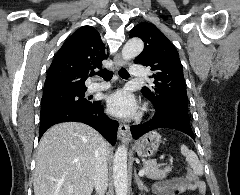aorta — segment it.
<instances>
[{
  "mask_svg": "<svg viewBox=\"0 0 240 195\" xmlns=\"http://www.w3.org/2000/svg\"><path fill=\"white\" fill-rule=\"evenodd\" d=\"M144 44L140 38H132L126 42L122 48V60L128 62L132 58L139 56L143 52ZM113 181L116 195H127L128 175H127V147L119 145L115 151L113 161Z\"/></svg>",
  "mask_w": 240,
  "mask_h": 195,
  "instance_id": "1",
  "label": "aorta"
}]
</instances>
